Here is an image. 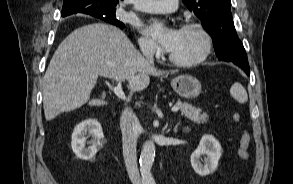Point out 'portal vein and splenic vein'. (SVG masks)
<instances>
[{
  "label": "portal vein and splenic vein",
  "instance_id": "1",
  "mask_svg": "<svg viewBox=\"0 0 293 184\" xmlns=\"http://www.w3.org/2000/svg\"><path fill=\"white\" fill-rule=\"evenodd\" d=\"M118 81H119L118 84L112 88V91L114 92V94L117 97H119L120 99L125 100L126 99L125 93L123 92L122 85H121L122 80H118ZM179 109H180L179 106L172 107L173 112H177Z\"/></svg>",
  "mask_w": 293,
  "mask_h": 184
}]
</instances>
